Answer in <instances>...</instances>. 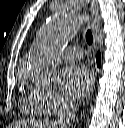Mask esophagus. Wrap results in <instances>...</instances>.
I'll return each mask as SVG.
<instances>
[{"label":"esophagus","instance_id":"obj_1","mask_svg":"<svg viewBox=\"0 0 125 128\" xmlns=\"http://www.w3.org/2000/svg\"><path fill=\"white\" fill-rule=\"evenodd\" d=\"M90 9L92 13L91 28H92L93 37H94L93 48H95L97 45V36L99 32V27H100L99 6H98L97 0L90 1ZM93 83H94V78H93Z\"/></svg>","mask_w":125,"mask_h":128}]
</instances>
